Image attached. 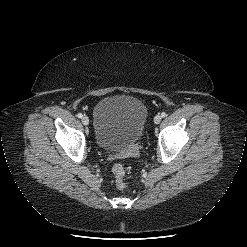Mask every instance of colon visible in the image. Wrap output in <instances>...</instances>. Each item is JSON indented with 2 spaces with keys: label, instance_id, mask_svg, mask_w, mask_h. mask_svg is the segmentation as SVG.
Masks as SVG:
<instances>
[{
  "label": "colon",
  "instance_id": "5ec220e1",
  "mask_svg": "<svg viewBox=\"0 0 247 247\" xmlns=\"http://www.w3.org/2000/svg\"><path fill=\"white\" fill-rule=\"evenodd\" d=\"M112 173L117 188L124 189L126 187V171L124 166L121 164H115L112 168Z\"/></svg>",
  "mask_w": 247,
  "mask_h": 247
}]
</instances>
